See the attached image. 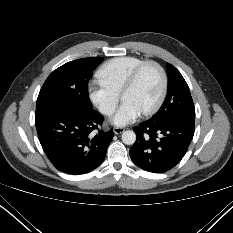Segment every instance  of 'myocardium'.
<instances>
[{"mask_svg": "<svg viewBox=\"0 0 233 233\" xmlns=\"http://www.w3.org/2000/svg\"><path fill=\"white\" fill-rule=\"evenodd\" d=\"M148 66H154L159 71L160 76H161L162 84H161L160 95H159L156 103L151 108H149L148 110L142 112V114L145 115V116L155 114L161 108V106L163 105V103L165 101L167 91H168V76H167V73H166L164 67L160 63H158L156 61H153V60L143 61L141 64H139L132 71V73L128 77L127 81L125 82V84H124V86H123V88L121 90V98H122L123 94L126 91L130 90L131 88H133L136 85L141 73Z\"/></svg>", "mask_w": 233, "mask_h": 233, "instance_id": "f54148a6", "label": "myocardium"}]
</instances>
